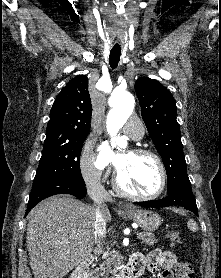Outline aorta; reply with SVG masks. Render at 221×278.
Wrapping results in <instances>:
<instances>
[{"instance_id": "1", "label": "aorta", "mask_w": 221, "mask_h": 278, "mask_svg": "<svg viewBox=\"0 0 221 278\" xmlns=\"http://www.w3.org/2000/svg\"><path fill=\"white\" fill-rule=\"evenodd\" d=\"M134 104V97L128 91L115 93L112 96V109L109 111L106 120L107 131L112 138V147L120 141V138L117 137V133L132 114Z\"/></svg>"}]
</instances>
